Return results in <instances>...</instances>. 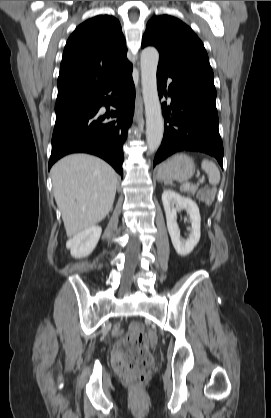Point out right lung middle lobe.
Instances as JSON below:
<instances>
[{"label": "right lung middle lobe", "instance_id": "right-lung-middle-lobe-1", "mask_svg": "<svg viewBox=\"0 0 271 418\" xmlns=\"http://www.w3.org/2000/svg\"><path fill=\"white\" fill-rule=\"evenodd\" d=\"M71 103H74V102H71ZM71 103H66V104H56V106H55V110H57V109H59V108H61V107L65 106V105L71 104Z\"/></svg>", "mask_w": 271, "mask_h": 418}]
</instances>
